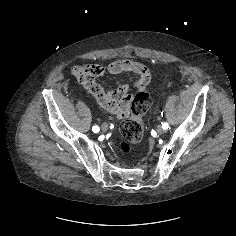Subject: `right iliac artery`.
<instances>
[{
  "instance_id": "right-iliac-artery-1",
  "label": "right iliac artery",
  "mask_w": 236,
  "mask_h": 236,
  "mask_svg": "<svg viewBox=\"0 0 236 236\" xmlns=\"http://www.w3.org/2000/svg\"><path fill=\"white\" fill-rule=\"evenodd\" d=\"M99 130H100V128H99L97 125H95V126L92 127V131H93L94 133H98Z\"/></svg>"
}]
</instances>
